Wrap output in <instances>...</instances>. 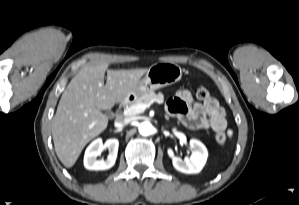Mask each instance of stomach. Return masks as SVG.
<instances>
[{
	"instance_id": "obj_1",
	"label": "stomach",
	"mask_w": 299,
	"mask_h": 205,
	"mask_svg": "<svg viewBox=\"0 0 299 205\" xmlns=\"http://www.w3.org/2000/svg\"><path fill=\"white\" fill-rule=\"evenodd\" d=\"M182 74L183 70L177 64L155 63L149 67L146 75L138 81L128 99H137L144 94L172 85L181 79Z\"/></svg>"
}]
</instances>
